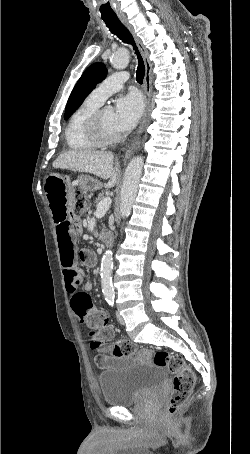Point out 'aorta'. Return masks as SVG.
Here are the masks:
<instances>
[{
    "label": "aorta",
    "mask_w": 250,
    "mask_h": 454,
    "mask_svg": "<svg viewBox=\"0 0 250 454\" xmlns=\"http://www.w3.org/2000/svg\"><path fill=\"white\" fill-rule=\"evenodd\" d=\"M129 63V52L126 48L117 49L111 57V64L115 69H125ZM144 159L142 156H135L127 165L123 185L121 189V217L127 218L132 210L135 201L139 181L142 175ZM113 256L112 251L107 250L101 262V286L106 300L114 299V289L112 285Z\"/></svg>",
    "instance_id": "1"
}]
</instances>
